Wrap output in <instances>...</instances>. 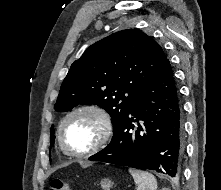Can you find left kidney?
Returning a JSON list of instances; mask_svg holds the SVG:
<instances>
[{
	"mask_svg": "<svg viewBox=\"0 0 221 190\" xmlns=\"http://www.w3.org/2000/svg\"><path fill=\"white\" fill-rule=\"evenodd\" d=\"M162 190H169V189H167V188H163Z\"/></svg>",
	"mask_w": 221,
	"mask_h": 190,
	"instance_id": "left-kidney-1",
	"label": "left kidney"
}]
</instances>
